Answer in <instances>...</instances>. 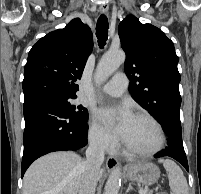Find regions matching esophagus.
Listing matches in <instances>:
<instances>
[{"label": "esophagus", "instance_id": "34e87169", "mask_svg": "<svg viewBox=\"0 0 201 194\" xmlns=\"http://www.w3.org/2000/svg\"><path fill=\"white\" fill-rule=\"evenodd\" d=\"M109 10V6L107 4H103L100 6L99 11L102 14H107ZM119 165V162L116 158L114 157H108L106 160V167L108 169H114Z\"/></svg>", "mask_w": 201, "mask_h": 194}]
</instances>
